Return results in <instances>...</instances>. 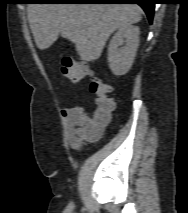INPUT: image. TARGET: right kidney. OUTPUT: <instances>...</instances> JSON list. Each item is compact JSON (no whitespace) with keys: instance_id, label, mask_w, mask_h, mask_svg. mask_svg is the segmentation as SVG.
Listing matches in <instances>:
<instances>
[{"instance_id":"right-kidney-1","label":"right kidney","mask_w":188,"mask_h":213,"mask_svg":"<svg viewBox=\"0 0 188 213\" xmlns=\"http://www.w3.org/2000/svg\"><path fill=\"white\" fill-rule=\"evenodd\" d=\"M138 26L121 27L112 37L108 47V63L116 76L126 74L131 68L139 46Z\"/></svg>"}]
</instances>
